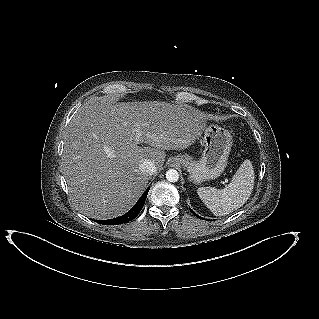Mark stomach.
I'll use <instances>...</instances> for the list:
<instances>
[{
	"instance_id": "obj_1",
	"label": "stomach",
	"mask_w": 319,
	"mask_h": 319,
	"mask_svg": "<svg viewBox=\"0 0 319 319\" xmlns=\"http://www.w3.org/2000/svg\"><path fill=\"white\" fill-rule=\"evenodd\" d=\"M203 133L205 149L199 161L185 155L175 156L172 161L182 165L189 173V181L195 184L218 178L227 166L232 147L230 132L218 125H206Z\"/></svg>"
}]
</instances>
